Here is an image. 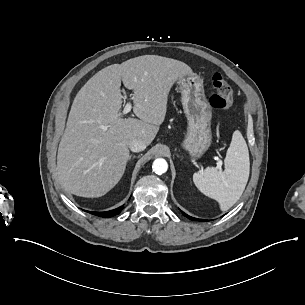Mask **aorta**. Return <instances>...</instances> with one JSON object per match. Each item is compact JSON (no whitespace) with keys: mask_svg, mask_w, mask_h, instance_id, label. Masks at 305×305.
Instances as JSON below:
<instances>
[{"mask_svg":"<svg viewBox=\"0 0 305 305\" xmlns=\"http://www.w3.org/2000/svg\"><path fill=\"white\" fill-rule=\"evenodd\" d=\"M152 169L158 175L164 174L168 169V163L163 158H157L152 164Z\"/></svg>","mask_w":305,"mask_h":305,"instance_id":"obj_1","label":"aorta"}]
</instances>
